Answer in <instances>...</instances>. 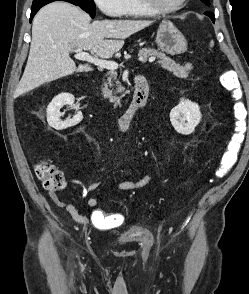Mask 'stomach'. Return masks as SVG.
<instances>
[{
	"instance_id": "1",
	"label": "stomach",
	"mask_w": 249,
	"mask_h": 294,
	"mask_svg": "<svg viewBox=\"0 0 249 294\" xmlns=\"http://www.w3.org/2000/svg\"><path fill=\"white\" fill-rule=\"evenodd\" d=\"M156 43L162 51L171 55H178L187 50L184 35L170 21L160 23L156 33Z\"/></svg>"
}]
</instances>
